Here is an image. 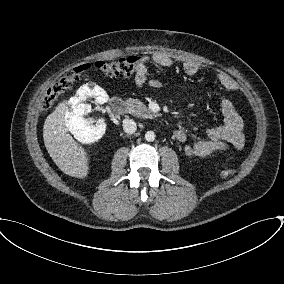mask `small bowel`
I'll return each mask as SVG.
<instances>
[{
	"mask_svg": "<svg viewBox=\"0 0 284 284\" xmlns=\"http://www.w3.org/2000/svg\"><path fill=\"white\" fill-rule=\"evenodd\" d=\"M142 60L143 65L138 68L135 75L136 85L142 87L149 82L153 86H161V82L157 78L148 77L147 63L153 62L161 67H169L174 62L173 57L165 52L158 51L143 57ZM182 68L187 75L193 76L198 73L200 66L195 61L186 60L182 63ZM218 80L227 91L233 92L237 89L235 82L227 74H219ZM220 109L224 123L207 128L202 139L195 141L191 145H186L184 150L187 156L205 158L215 153L224 152L230 146L238 150L243 148L245 139L242 133L243 120L240 114L227 98L221 99ZM175 138L179 142H185L187 135L184 131H176Z\"/></svg>",
	"mask_w": 284,
	"mask_h": 284,
	"instance_id": "small-bowel-1",
	"label": "small bowel"
}]
</instances>
